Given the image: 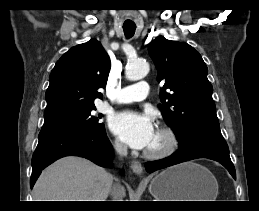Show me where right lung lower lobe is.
I'll return each mask as SVG.
<instances>
[{"label":"right lung lower lobe","mask_w":259,"mask_h":211,"mask_svg":"<svg viewBox=\"0 0 259 211\" xmlns=\"http://www.w3.org/2000/svg\"><path fill=\"white\" fill-rule=\"evenodd\" d=\"M80 156L100 166L111 164L113 151L105 128L79 130L71 128L43 129L32 157V188L41 171L64 156Z\"/></svg>","instance_id":"right-lung-lower-lobe-1"}]
</instances>
